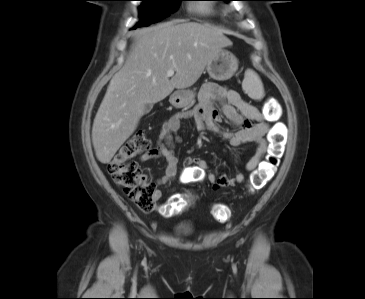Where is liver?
I'll use <instances>...</instances> for the list:
<instances>
[{
    "instance_id": "1",
    "label": "liver",
    "mask_w": 365,
    "mask_h": 299,
    "mask_svg": "<svg viewBox=\"0 0 365 299\" xmlns=\"http://www.w3.org/2000/svg\"><path fill=\"white\" fill-rule=\"evenodd\" d=\"M229 46L232 42L223 31L208 24L173 21L141 30L95 116L92 142L97 159L108 164L136 130L146 104L192 86L216 53ZM168 70L175 75L169 78Z\"/></svg>"
}]
</instances>
